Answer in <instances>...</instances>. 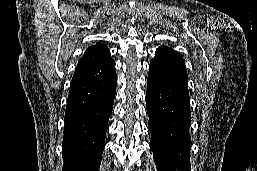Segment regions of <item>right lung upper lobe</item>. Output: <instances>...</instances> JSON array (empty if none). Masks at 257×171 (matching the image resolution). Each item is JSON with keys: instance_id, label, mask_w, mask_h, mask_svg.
Returning a JSON list of instances; mask_svg holds the SVG:
<instances>
[{"instance_id": "cb5924a9", "label": "right lung upper lobe", "mask_w": 257, "mask_h": 171, "mask_svg": "<svg viewBox=\"0 0 257 171\" xmlns=\"http://www.w3.org/2000/svg\"><path fill=\"white\" fill-rule=\"evenodd\" d=\"M111 58L110 50L107 46L97 43L86 49L82 58L79 59L77 66L96 64Z\"/></svg>"}]
</instances>
